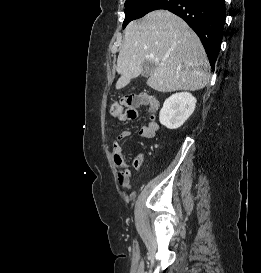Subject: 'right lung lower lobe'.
Wrapping results in <instances>:
<instances>
[{"instance_id":"98d812e1","label":"right lung lower lobe","mask_w":261,"mask_h":273,"mask_svg":"<svg viewBox=\"0 0 261 273\" xmlns=\"http://www.w3.org/2000/svg\"><path fill=\"white\" fill-rule=\"evenodd\" d=\"M142 8L146 14L166 9L185 20L199 36L214 69L223 37L225 0H154Z\"/></svg>"}]
</instances>
